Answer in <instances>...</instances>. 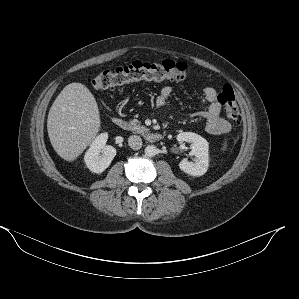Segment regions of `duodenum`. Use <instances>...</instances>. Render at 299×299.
I'll return each instance as SVG.
<instances>
[{"label": "duodenum", "instance_id": "obj_1", "mask_svg": "<svg viewBox=\"0 0 299 299\" xmlns=\"http://www.w3.org/2000/svg\"><path fill=\"white\" fill-rule=\"evenodd\" d=\"M111 123L117 128H125L126 122L120 117H113ZM164 136L161 133H150L146 135V140L149 142L161 141Z\"/></svg>", "mask_w": 299, "mask_h": 299}]
</instances>
